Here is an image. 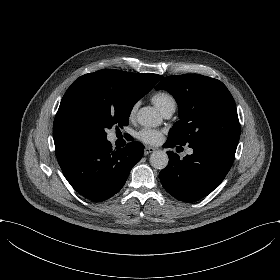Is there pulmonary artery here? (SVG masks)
I'll list each match as a JSON object with an SVG mask.
<instances>
[{"mask_svg": "<svg viewBox=\"0 0 280 280\" xmlns=\"http://www.w3.org/2000/svg\"><path fill=\"white\" fill-rule=\"evenodd\" d=\"M173 113H174V109H169V110L165 111L163 114H164L165 118H169L172 116Z\"/></svg>", "mask_w": 280, "mask_h": 280, "instance_id": "pulmonary-artery-1", "label": "pulmonary artery"}]
</instances>
